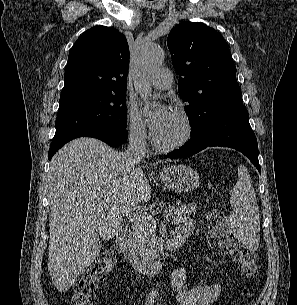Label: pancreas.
I'll return each instance as SVG.
<instances>
[{
  "mask_svg": "<svg viewBox=\"0 0 297 305\" xmlns=\"http://www.w3.org/2000/svg\"><path fill=\"white\" fill-rule=\"evenodd\" d=\"M169 208L171 211L168 212V215L172 218V222L178 225L186 222L190 215L195 214L198 207L196 203L192 202L178 207L170 206ZM156 231V221L153 218V213L134 220V243L140 254L150 257L156 253L161 242L155 236Z\"/></svg>",
  "mask_w": 297,
  "mask_h": 305,
  "instance_id": "cf45deb5",
  "label": "pancreas"
}]
</instances>
